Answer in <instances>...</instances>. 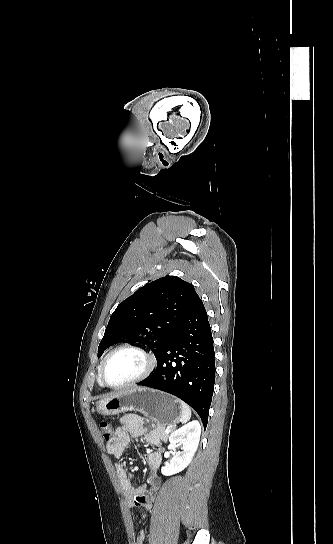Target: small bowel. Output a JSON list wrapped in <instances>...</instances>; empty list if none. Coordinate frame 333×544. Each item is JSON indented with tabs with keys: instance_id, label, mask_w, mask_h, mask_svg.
Listing matches in <instances>:
<instances>
[{
	"instance_id": "small-bowel-1",
	"label": "small bowel",
	"mask_w": 333,
	"mask_h": 544,
	"mask_svg": "<svg viewBox=\"0 0 333 544\" xmlns=\"http://www.w3.org/2000/svg\"><path fill=\"white\" fill-rule=\"evenodd\" d=\"M154 425L148 420L137 415H126L121 419V425L115 430L111 439L107 442V450L115 460H119L125 447L128 445L131 436H143L148 444L153 447L160 445V440L154 430ZM149 468V478L146 485L134 488L132 484L133 475L128 472L119 462L115 463L117 476L120 485L130 507H140L144 510L143 519L148 517L152 508L155 495L160 489L161 480L158 474L161 455L153 451L145 455ZM145 534L141 531L134 539V544H144Z\"/></svg>"
}]
</instances>
